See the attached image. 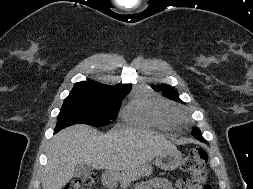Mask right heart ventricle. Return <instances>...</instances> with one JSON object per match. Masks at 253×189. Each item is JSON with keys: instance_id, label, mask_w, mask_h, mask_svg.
<instances>
[{"instance_id": "obj_1", "label": "right heart ventricle", "mask_w": 253, "mask_h": 189, "mask_svg": "<svg viewBox=\"0 0 253 189\" xmlns=\"http://www.w3.org/2000/svg\"><path fill=\"white\" fill-rule=\"evenodd\" d=\"M125 122L140 128L161 131L178 129V112L170 103L145 96L134 98L123 110Z\"/></svg>"}]
</instances>
